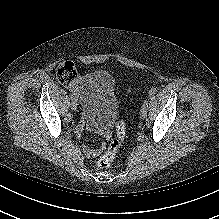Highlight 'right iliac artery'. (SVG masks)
Instances as JSON below:
<instances>
[{
    "label": "right iliac artery",
    "instance_id": "obj_1",
    "mask_svg": "<svg viewBox=\"0 0 219 219\" xmlns=\"http://www.w3.org/2000/svg\"><path fill=\"white\" fill-rule=\"evenodd\" d=\"M70 98H71V99L74 98V94H73V93L70 94Z\"/></svg>",
    "mask_w": 219,
    "mask_h": 219
}]
</instances>
